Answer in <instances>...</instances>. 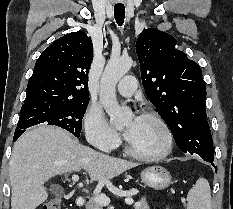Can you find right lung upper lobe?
Returning <instances> with one entry per match:
<instances>
[{
  "label": "right lung upper lobe",
  "instance_id": "obj_1",
  "mask_svg": "<svg viewBox=\"0 0 233 209\" xmlns=\"http://www.w3.org/2000/svg\"><path fill=\"white\" fill-rule=\"evenodd\" d=\"M92 60V41L85 32L55 40L35 64L24 104L89 100L87 84Z\"/></svg>",
  "mask_w": 233,
  "mask_h": 209
}]
</instances>
